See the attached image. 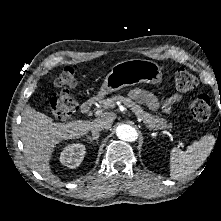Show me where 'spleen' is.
Segmentation results:
<instances>
[{"instance_id":"spleen-1","label":"spleen","mask_w":221,"mask_h":221,"mask_svg":"<svg viewBox=\"0 0 221 221\" xmlns=\"http://www.w3.org/2000/svg\"><path fill=\"white\" fill-rule=\"evenodd\" d=\"M214 145V136L206 135L189 145L186 151L173 148L170 151L171 179H181L197 170L210 155Z\"/></svg>"}]
</instances>
